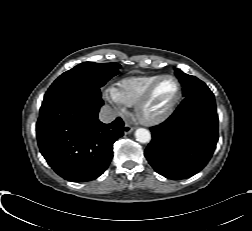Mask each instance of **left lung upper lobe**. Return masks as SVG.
Instances as JSON below:
<instances>
[{
  "instance_id": "1",
  "label": "left lung upper lobe",
  "mask_w": 252,
  "mask_h": 231,
  "mask_svg": "<svg viewBox=\"0 0 252 231\" xmlns=\"http://www.w3.org/2000/svg\"><path fill=\"white\" fill-rule=\"evenodd\" d=\"M176 75L179 78L181 84L183 85L184 97L199 93L211 92L204 82L194 76L185 74L179 69H176Z\"/></svg>"
}]
</instances>
